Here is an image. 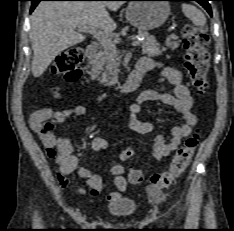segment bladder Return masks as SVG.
Instances as JSON below:
<instances>
[{
	"mask_svg": "<svg viewBox=\"0 0 234 231\" xmlns=\"http://www.w3.org/2000/svg\"><path fill=\"white\" fill-rule=\"evenodd\" d=\"M136 201L121 197L107 206V211L115 217L125 218L132 216L137 211Z\"/></svg>",
	"mask_w": 234,
	"mask_h": 231,
	"instance_id": "obj_1",
	"label": "bladder"
}]
</instances>
